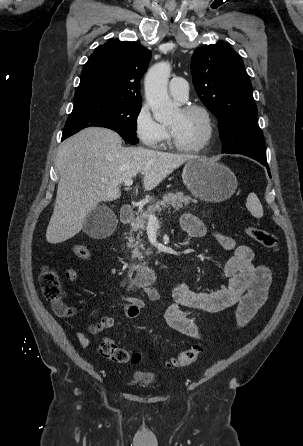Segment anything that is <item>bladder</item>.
<instances>
[{
    "instance_id": "obj_1",
    "label": "bladder",
    "mask_w": 303,
    "mask_h": 446,
    "mask_svg": "<svg viewBox=\"0 0 303 446\" xmlns=\"http://www.w3.org/2000/svg\"><path fill=\"white\" fill-rule=\"evenodd\" d=\"M132 383L135 386L147 388L153 386L156 383V379L145 373H135L132 376Z\"/></svg>"
}]
</instances>
